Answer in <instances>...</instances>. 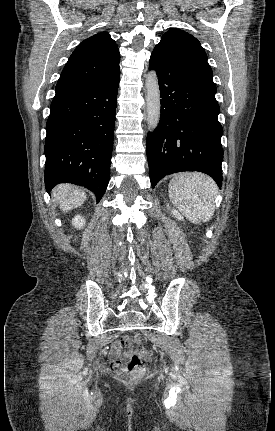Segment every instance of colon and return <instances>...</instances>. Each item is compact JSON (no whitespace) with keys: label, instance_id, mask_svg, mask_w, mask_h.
Masks as SVG:
<instances>
[{"label":"colon","instance_id":"5ec220e1","mask_svg":"<svg viewBox=\"0 0 275 431\" xmlns=\"http://www.w3.org/2000/svg\"><path fill=\"white\" fill-rule=\"evenodd\" d=\"M125 344L135 343L140 344L142 338L139 334H134L132 337H126L124 339ZM151 357V353L148 349L137 350L129 361L126 363V369L131 374L132 378H139L145 370V362Z\"/></svg>","mask_w":275,"mask_h":431}]
</instances>
